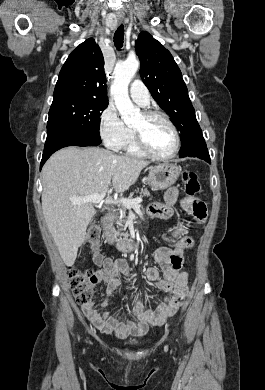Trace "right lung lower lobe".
<instances>
[{
  "instance_id": "1",
  "label": "right lung lower lobe",
  "mask_w": 265,
  "mask_h": 390,
  "mask_svg": "<svg viewBox=\"0 0 265 390\" xmlns=\"http://www.w3.org/2000/svg\"><path fill=\"white\" fill-rule=\"evenodd\" d=\"M100 139L67 128H56L47 131L44 152L40 164V170L46 160L57 150L67 146H97Z\"/></svg>"
}]
</instances>
